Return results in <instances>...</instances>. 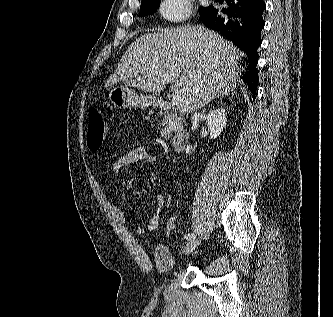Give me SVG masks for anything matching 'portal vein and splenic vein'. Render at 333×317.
Returning <instances> with one entry per match:
<instances>
[{"label":"portal vein and splenic vein","mask_w":333,"mask_h":317,"mask_svg":"<svg viewBox=\"0 0 333 317\" xmlns=\"http://www.w3.org/2000/svg\"><path fill=\"white\" fill-rule=\"evenodd\" d=\"M171 102H172V104L174 106H178L179 107L181 105V103H182V99H181V97L178 94H176V95H174L172 97Z\"/></svg>","instance_id":"obj_1"}]
</instances>
